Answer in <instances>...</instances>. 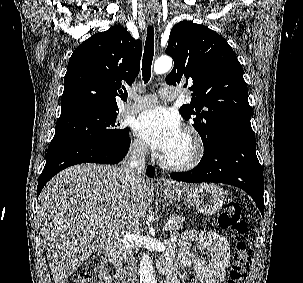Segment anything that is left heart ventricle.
<instances>
[{"instance_id": "obj_1", "label": "left heart ventricle", "mask_w": 303, "mask_h": 283, "mask_svg": "<svg viewBox=\"0 0 303 283\" xmlns=\"http://www.w3.org/2000/svg\"><path fill=\"white\" fill-rule=\"evenodd\" d=\"M190 153L191 144L182 133L177 143L164 155L167 159L171 161L179 162L187 159Z\"/></svg>"}]
</instances>
